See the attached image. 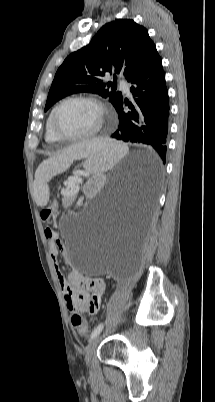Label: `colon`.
<instances>
[{
  "label": "colon",
  "instance_id": "5ec220e1",
  "mask_svg": "<svg viewBox=\"0 0 215 402\" xmlns=\"http://www.w3.org/2000/svg\"><path fill=\"white\" fill-rule=\"evenodd\" d=\"M56 213H57V206L53 205L50 208L44 209L41 212V217L43 218V220L48 221L51 218H53ZM94 310H95V307L93 305H90L89 311L92 313V312H94ZM71 322H72L73 327L79 334L83 335L86 333L87 325L79 313L72 314Z\"/></svg>",
  "mask_w": 215,
  "mask_h": 402
}]
</instances>
